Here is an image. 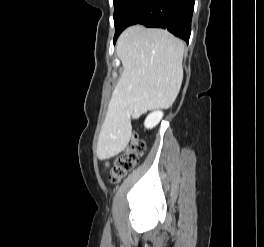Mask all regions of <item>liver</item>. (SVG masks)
<instances>
[{
	"label": "liver",
	"instance_id": "1",
	"mask_svg": "<svg viewBox=\"0 0 264 247\" xmlns=\"http://www.w3.org/2000/svg\"><path fill=\"white\" fill-rule=\"evenodd\" d=\"M184 43L163 29L127 28L117 43L123 72L112 93L97 143V157L109 159L128 145L131 118L169 108L183 80Z\"/></svg>",
	"mask_w": 264,
	"mask_h": 247
}]
</instances>
